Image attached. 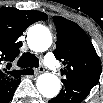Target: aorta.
<instances>
[{
    "label": "aorta",
    "mask_w": 103,
    "mask_h": 103,
    "mask_svg": "<svg viewBox=\"0 0 103 103\" xmlns=\"http://www.w3.org/2000/svg\"><path fill=\"white\" fill-rule=\"evenodd\" d=\"M27 43L29 48L35 52L46 51L52 43L49 29L41 24L31 26L27 32ZM36 86L40 94L45 98H54L60 92V80L51 73L40 75Z\"/></svg>",
    "instance_id": "1"
}]
</instances>
